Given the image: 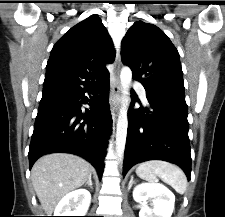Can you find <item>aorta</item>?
Returning a JSON list of instances; mask_svg holds the SVG:
<instances>
[{
  "label": "aorta",
  "mask_w": 225,
  "mask_h": 217,
  "mask_svg": "<svg viewBox=\"0 0 225 217\" xmlns=\"http://www.w3.org/2000/svg\"><path fill=\"white\" fill-rule=\"evenodd\" d=\"M132 79V71L129 67H123L120 73L121 89L124 96L129 94ZM128 128L127 100H125L119 111L116 131V156L121 160L125 150Z\"/></svg>",
  "instance_id": "762f6f07"
}]
</instances>
